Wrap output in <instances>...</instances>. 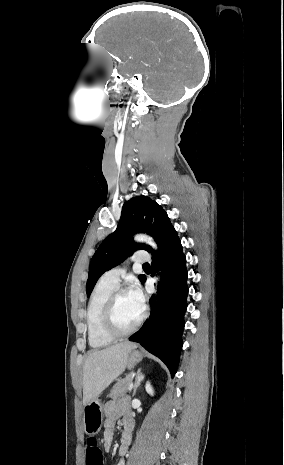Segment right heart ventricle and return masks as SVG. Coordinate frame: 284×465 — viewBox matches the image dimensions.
<instances>
[{"instance_id": "e07e8e85", "label": "right heart ventricle", "mask_w": 284, "mask_h": 465, "mask_svg": "<svg viewBox=\"0 0 284 465\" xmlns=\"http://www.w3.org/2000/svg\"><path fill=\"white\" fill-rule=\"evenodd\" d=\"M116 287L99 280L91 292L85 315L89 346H110L114 342L103 332L102 321L108 298Z\"/></svg>"}]
</instances>
